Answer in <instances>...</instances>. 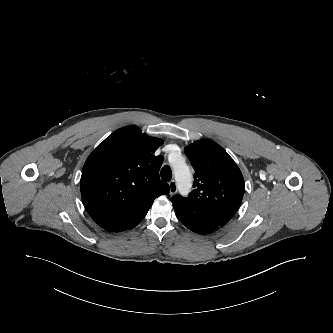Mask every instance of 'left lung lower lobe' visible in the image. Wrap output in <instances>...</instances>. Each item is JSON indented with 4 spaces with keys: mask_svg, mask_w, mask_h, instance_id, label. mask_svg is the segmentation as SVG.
Segmentation results:
<instances>
[{
    "mask_svg": "<svg viewBox=\"0 0 333 333\" xmlns=\"http://www.w3.org/2000/svg\"><path fill=\"white\" fill-rule=\"evenodd\" d=\"M236 200L216 201L206 204H173L176 217L188 229L196 233H210L224 226L239 208Z\"/></svg>",
    "mask_w": 333,
    "mask_h": 333,
    "instance_id": "0a47b994",
    "label": "left lung lower lobe"
}]
</instances>
